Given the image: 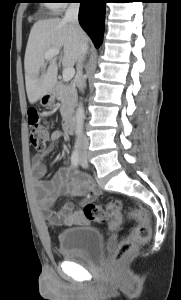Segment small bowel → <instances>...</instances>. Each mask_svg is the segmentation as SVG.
Wrapping results in <instances>:
<instances>
[{
    "instance_id": "c3829d8e",
    "label": "small bowel",
    "mask_w": 181,
    "mask_h": 300,
    "mask_svg": "<svg viewBox=\"0 0 181 300\" xmlns=\"http://www.w3.org/2000/svg\"><path fill=\"white\" fill-rule=\"evenodd\" d=\"M62 137L60 131H55L51 137V143L33 160L34 186L37 198L40 200L42 208L47 212V221L55 225H84L88 220L81 208L75 207L72 202H66L59 210H53L56 201L62 196H85L82 205L95 200L100 195V190L96 188L90 179L78 174L73 164L63 166L55 171L51 179L45 180L47 168L44 164L46 154L52 152L56 147V142Z\"/></svg>"
}]
</instances>
